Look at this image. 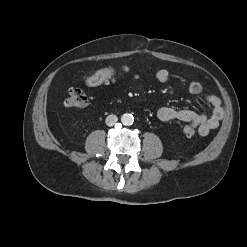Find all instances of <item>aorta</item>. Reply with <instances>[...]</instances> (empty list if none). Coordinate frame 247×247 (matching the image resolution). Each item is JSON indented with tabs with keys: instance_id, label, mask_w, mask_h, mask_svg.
Returning <instances> with one entry per match:
<instances>
[{
	"instance_id": "obj_1",
	"label": "aorta",
	"mask_w": 247,
	"mask_h": 247,
	"mask_svg": "<svg viewBox=\"0 0 247 247\" xmlns=\"http://www.w3.org/2000/svg\"><path fill=\"white\" fill-rule=\"evenodd\" d=\"M121 122L124 124V125H132L133 122H134V117L132 114H123L121 116Z\"/></svg>"
}]
</instances>
